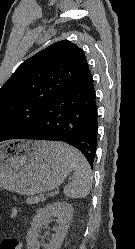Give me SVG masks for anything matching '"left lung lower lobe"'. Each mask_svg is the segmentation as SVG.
I'll return each mask as SVG.
<instances>
[{"label":"left lung lower lobe","mask_w":135,"mask_h":249,"mask_svg":"<svg viewBox=\"0 0 135 249\" xmlns=\"http://www.w3.org/2000/svg\"><path fill=\"white\" fill-rule=\"evenodd\" d=\"M98 131V114L91 73L49 104L37 126L20 139L66 142L93 166Z\"/></svg>","instance_id":"1"}]
</instances>
